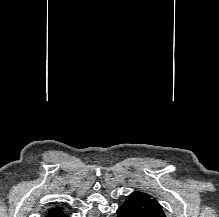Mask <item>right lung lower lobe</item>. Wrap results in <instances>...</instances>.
<instances>
[{"label":"right lung lower lobe","instance_id":"1","mask_svg":"<svg viewBox=\"0 0 219 217\" xmlns=\"http://www.w3.org/2000/svg\"><path fill=\"white\" fill-rule=\"evenodd\" d=\"M45 217H69V215L61 208H58L53 211H48Z\"/></svg>","mask_w":219,"mask_h":217}]
</instances>
